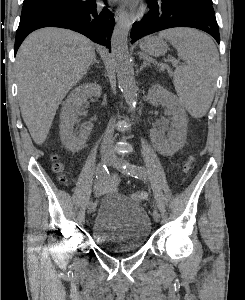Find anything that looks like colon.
Segmentation results:
<instances>
[{"label": "colon", "instance_id": "obj_1", "mask_svg": "<svg viewBox=\"0 0 245 300\" xmlns=\"http://www.w3.org/2000/svg\"><path fill=\"white\" fill-rule=\"evenodd\" d=\"M54 170L58 174L60 182L65 183L67 181V178L63 174V168L60 162L56 161L54 163ZM132 198L137 203L143 204L147 200V194L143 191H138L132 195Z\"/></svg>", "mask_w": 245, "mask_h": 300}]
</instances>
